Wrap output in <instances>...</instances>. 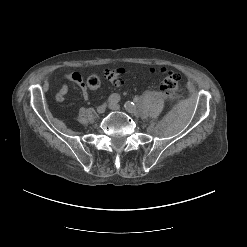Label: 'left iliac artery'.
Masks as SVG:
<instances>
[{
  "instance_id": "44dca946",
  "label": "left iliac artery",
  "mask_w": 247,
  "mask_h": 247,
  "mask_svg": "<svg viewBox=\"0 0 247 247\" xmlns=\"http://www.w3.org/2000/svg\"><path fill=\"white\" fill-rule=\"evenodd\" d=\"M125 109L128 111L130 115H135L136 114V109H135V103L134 102H126L124 105Z\"/></svg>"
}]
</instances>
